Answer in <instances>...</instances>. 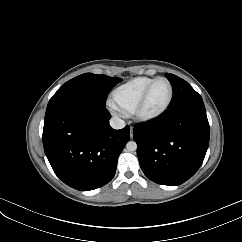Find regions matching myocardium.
<instances>
[{"label": "myocardium", "mask_w": 242, "mask_h": 242, "mask_svg": "<svg viewBox=\"0 0 242 242\" xmlns=\"http://www.w3.org/2000/svg\"><path fill=\"white\" fill-rule=\"evenodd\" d=\"M160 80L166 81L169 85L170 93H169L168 100L165 103V105L157 112H154L151 114H146L143 112V107L146 103L149 92L152 89V87L154 86V84ZM173 96H174V88H173L171 81L166 77H156L148 84V86L145 88V90L141 94L140 98L138 99L137 103L135 104V106L133 108L132 115L138 121H142V122L154 121V120L160 118L168 110V108L170 107V105L172 103Z\"/></svg>", "instance_id": "myocardium-1"}]
</instances>
